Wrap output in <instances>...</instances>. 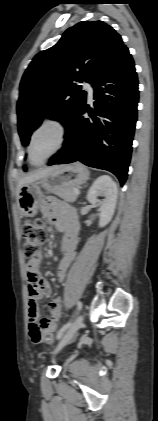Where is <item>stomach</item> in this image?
Here are the masks:
<instances>
[{
  "label": "stomach",
  "mask_w": 158,
  "mask_h": 421,
  "mask_svg": "<svg viewBox=\"0 0 158 421\" xmlns=\"http://www.w3.org/2000/svg\"><path fill=\"white\" fill-rule=\"evenodd\" d=\"M89 178L88 169L80 162L57 166L39 180L24 184L18 194V204L23 216L37 214L42 190L50 192L84 184Z\"/></svg>",
  "instance_id": "1"
}]
</instances>
